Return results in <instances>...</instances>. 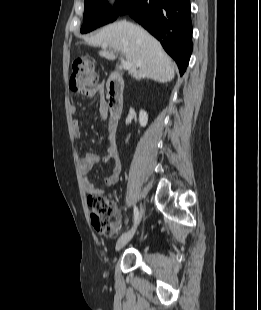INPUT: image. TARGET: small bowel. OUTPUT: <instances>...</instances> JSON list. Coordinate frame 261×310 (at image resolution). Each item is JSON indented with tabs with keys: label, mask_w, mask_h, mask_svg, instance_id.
Returning <instances> with one entry per match:
<instances>
[{
	"label": "small bowel",
	"mask_w": 261,
	"mask_h": 310,
	"mask_svg": "<svg viewBox=\"0 0 261 310\" xmlns=\"http://www.w3.org/2000/svg\"><path fill=\"white\" fill-rule=\"evenodd\" d=\"M83 95L89 98L92 97H101L103 93V86L99 85L94 88L86 89L83 92ZM73 112H75V108H73ZM72 130L73 134L76 138H79L81 136V129L80 124L78 121L74 120L72 122ZM108 140H109V146L106 151V155L103 157L106 162H112L113 168L111 173L104 178V183L107 186L114 185L117 183L120 172H121V162L119 159L117 147H116V138H115V131H113L109 125L108 127ZM100 160V156L96 153H86L81 159H80V167L83 174V183L84 188L86 192L90 195L92 194H98L102 195L103 190L101 188H98L94 185L93 182L89 179V172L93 168V166Z\"/></svg>",
	"instance_id": "1"
}]
</instances>
